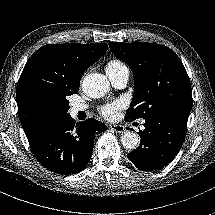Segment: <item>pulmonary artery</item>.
Wrapping results in <instances>:
<instances>
[{
  "mask_svg": "<svg viewBox=\"0 0 215 215\" xmlns=\"http://www.w3.org/2000/svg\"><path fill=\"white\" fill-rule=\"evenodd\" d=\"M109 78L116 87H124L129 79V70L125 69L115 75H109ZM83 110H85V106L82 104H74L70 109L72 114H77L78 112Z\"/></svg>",
  "mask_w": 215,
  "mask_h": 215,
  "instance_id": "e3ab8cb5",
  "label": "pulmonary artery"
}]
</instances>
